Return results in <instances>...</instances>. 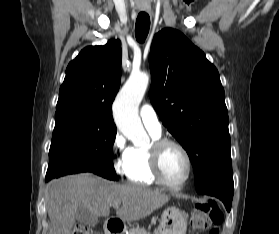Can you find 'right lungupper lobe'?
<instances>
[{
  "mask_svg": "<svg viewBox=\"0 0 279 234\" xmlns=\"http://www.w3.org/2000/svg\"><path fill=\"white\" fill-rule=\"evenodd\" d=\"M121 62L119 40L84 48L68 64L56 114L79 112L114 123L111 106L120 86Z\"/></svg>",
  "mask_w": 279,
  "mask_h": 234,
  "instance_id": "cb5924a9",
  "label": "right lung upper lobe"
}]
</instances>
